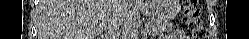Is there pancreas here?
I'll return each mask as SVG.
<instances>
[{
  "label": "pancreas",
  "instance_id": "cf45deb5",
  "mask_svg": "<svg viewBox=\"0 0 249 39\" xmlns=\"http://www.w3.org/2000/svg\"><path fill=\"white\" fill-rule=\"evenodd\" d=\"M171 28L172 24L159 19H153L147 25V29L152 35L163 33L164 31H168Z\"/></svg>",
  "mask_w": 249,
  "mask_h": 39
}]
</instances>
